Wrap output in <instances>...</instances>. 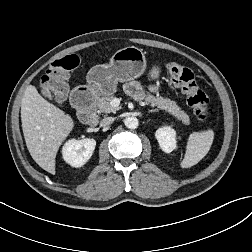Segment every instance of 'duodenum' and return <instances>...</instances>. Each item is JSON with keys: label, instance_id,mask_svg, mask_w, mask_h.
<instances>
[{"label": "duodenum", "instance_id": "obj_1", "mask_svg": "<svg viewBox=\"0 0 252 252\" xmlns=\"http://www.w3.org/2000/svg\"><path fill=\"white\" fill-rule=\"evenodd\" d=\"M92 102L93 94L89 88L75 90L71 95V103L79 110L81 122L88 126H96L99 121Z\"/></svg>", "mask_w": 252, "mask_h": 252}]
</instances>
